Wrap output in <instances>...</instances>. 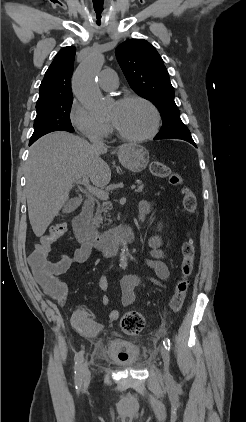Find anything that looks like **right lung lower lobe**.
Listing matches in <instances>:
<instances>
[{
    "mask_svg": "<svg viewBox=\"0 0 246 422\" xmlns=\"http://www.w3.org/2000/svg\"><path fill=\"white\" fill-rule=\"evenodd\" d=\"M32 144V142H29V145H31Z\"/></svg>",
    "mask_w": 246,
    "mask_h": 422,
    "instance_id": "right-lung-lower-lobe-1",
    "label": "right lung lower lobe"
}]
</instances>
